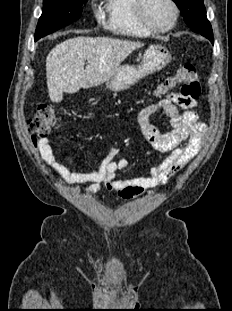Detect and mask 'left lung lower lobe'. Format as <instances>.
Masks as SVG:
<instances>
[{
    "label": "left lung lower lobe",
    "mask_w": 232,
    "mask_h": 311,
    "mask_svg": "<svg viewBox=\"0 0 232 311\" xmlns=\"http://www.w3.org/2000/svg\"><path fill=\"white\" fill-rule=\"evenodd\" d=\"M201 34L203 36H205L206 38H208L212 44H214V39H213V33H212V28H210L207 31L201 32Z\"/></svg>",
    "instance_id": "1"
}]
</instances>
